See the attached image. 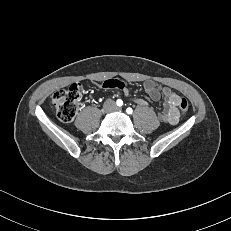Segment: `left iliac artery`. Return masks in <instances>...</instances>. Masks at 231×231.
<instances>
[{
    "label": "left iliac artery",
    "mask_w": 231,
    "mask_h": 231,
    "mask_svg": "<svg viewBox=\"0 0 231 231\" xmlns=\"http://www.w3.org/2000/svg\"><path fill=\"white\" fill-rule=\"evenodd\" d=\"M126 112H127L128 114H132L133 110H132V108L129 107V108L126 109Z\"/></svg>",
    "instance_id": "1"
}]
</instances>
